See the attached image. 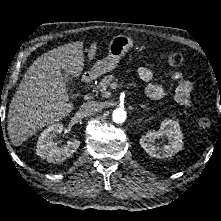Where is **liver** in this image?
<instances>
[{
    "instance_id": "obj_1",
    "label": "liver",
    "mask_w": 221,
    "mask_h": 221,
    "mask_svg": "<svg viewBox=\"0 0 221 221\" xmlns=\"http://www.w3.org/2000/svg\"><path fill=\"white\" fill-rule=\"evenodd\" d=\"M96 45H91L89 61L96 55ZM83 67V42L79 41L59 46L34 61L9 105L7 130L13 145L20 146L72 112L74 105L69 102L62 71L78 78Z\"/></svg>"
}]
</instances>
